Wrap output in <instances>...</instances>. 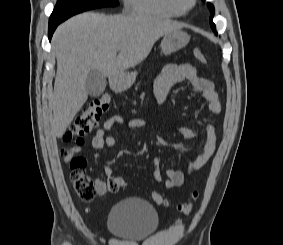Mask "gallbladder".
I'll list each match as a JSON object with an SVG mask.
<instances>
[{
  "label": "gallbladder",
  "instance_id": "bac80fb5",
  "mask_svg": "<svg viewBox=\"0 0 283 245\" xmlns=\"http://www.w3.org/2000/svg\"><path fill=\"white\" fill-rule=\"evenodd\" d=\"M85 87L90 96H100L106 88V77L100 71L92 70L87 75Z\"/></svg>",
  "mask_w": 283,
  "mask_h": 245
}]
</instances>
